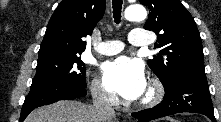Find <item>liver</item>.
<instances>
[{
  "instance_id": "obj_1",
  "label": "liver",
  "mask_w": 221,
  "mask_h": 122,
  "mask_svg": "<svg viewBox=\"0 0 221 122\" xmlns=\"http://www.w3.org/2000/svg\"><path fill=\"white\" fill-rule=\"evenodd\" d=\"M106 119L104 122H111ZM25 122H99L94 107L79 101L61 100L32 111Z\"/></svg>"
}]
</instances>
